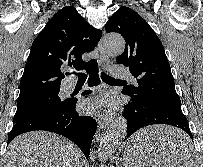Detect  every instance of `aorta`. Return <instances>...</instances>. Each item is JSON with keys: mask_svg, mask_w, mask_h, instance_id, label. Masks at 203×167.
Returning <instances> with one entry per match:
<instances>
[{"mask_svg": "<svg viewBox=\"0 0 203 167\" xmlns=\"http://www.w3.org/2000/svg\"><path fill=\"white\" fill-rule=\"evenodd\" d=\"M104 51L110 55L118 56L125 49V40L118 34H107L102 41ZM127 133V122L123 117L116 119L108 128L100 142L98 156L106 160L119 147Z\"/></svg>", "mask_w": 203, "mask_h": 167, "instance_id": "obj_1", "label": "aorta"}]
</instances>
